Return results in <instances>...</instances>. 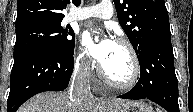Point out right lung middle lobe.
<instances>
[{"instance_id":"dd1d6c3e","label":"right lung middle lobe","mask_w":193,"mask_h":112,"mask_svg":"<svg viewBox=\"0 0 193 112\" xmlns=\"http://www.w3.org/2000/svg\"><path fill=\"white\" fill-rule=\"evenodd\" d=\"M68 35L73 39L69 40ZM40 46H52L62 53L74 51V31L61 23L35 24L16 30L14 57Z\"/></svg>"}]
</instances>
